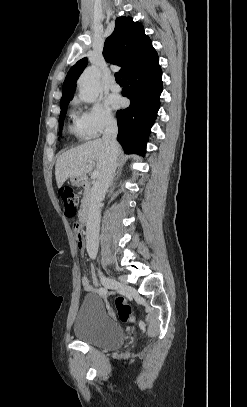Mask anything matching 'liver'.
<instances>
[{"mask_svg":"<svg viewBox=\"0 0 247 407\" xmlns=\"http://www.w3.org/2000/svg\"><path fill=\"white\" fill-rule=\"evenodd\" d=\"M117 152H120L118 146ZM108 159V151L102 139L87 142L64 152L57 159L55 177L57 186L61 187L71 177H84L93 169L89 161L96 162L98 176L103 172Z\"/></svg>","mask_w":247,"mask_h":407,"instance_id":"1","label":"liver"}]
</instances>
